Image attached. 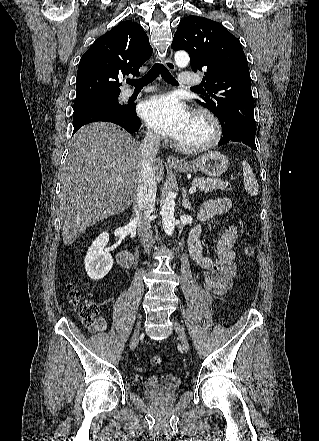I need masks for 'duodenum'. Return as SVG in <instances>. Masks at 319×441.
<instances>
[{"label": "duodenum", "mask_w": 319, "mask_h": 441, "mask_svg": "<svg viewBox=\"0 0 319 441\" xmlns=\"http://www.w3.org/2000/svg\"><path fill=\"white\" fill-rule=\"evenodd\" d=\"M117 261L123 267H130L134 261V255L132 252L126 249H121L116 255Z\"/></svg>", "instance_id": "duodenum-1"}]
</instances>
